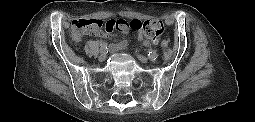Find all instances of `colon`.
<instances>
[{"label": "colon", "instance_id": "5ec220e1", "mask_svg": "<svg viewBox=\"0 0 255 122\" xmlns=\"http://www.w3.org/2000/svg\"><path fill=\"white\" fill-rule=\"evenodd\" d=\"M132 29L142 31L147 37L157 38L164 31V24L158 19L141 21L133 20H109L104 22L100 19H77L73 21L71 35L74 39H79L86 31H112L113 29Z\"/></svg>", "mask_w": 255, "mask_h": 122}]
</instances>
